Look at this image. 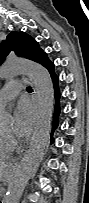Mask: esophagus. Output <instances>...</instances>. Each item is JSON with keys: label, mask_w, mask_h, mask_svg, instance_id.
Returning a JSON list of instances; mask_svg holds the SVG:
<instances>
[{"label": "esophagus", "mask_w": 89, "mask_h": 203, "mask_svg": "<svg viewBox=\"0 0 89 203\" xmlns=\"http://www.w3.org/2000/svg\"><path fill=\"white\" fill-rule=\"evenodd\" d=\"M28 79H29V80L31 81V83L33 84L31 78L28 77ZM34 98H35V100H36V102H37L38 94H37V89H36L35 86H34Z\"/></svg>", "instance_id": "1"}]
</instances>
